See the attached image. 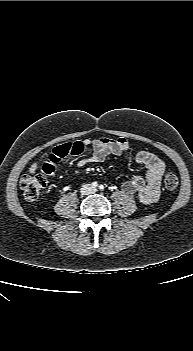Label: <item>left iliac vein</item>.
I'll list each match as a JSON object with an SVG mask.
<instances>
[{"instance_id":"obj_1","label":"left iliac vein","mask_w":193,"mask_h":351,"mask_svg":"<svg viewBox=\"0 0 193 351\" xmlns=\"http://www.w3.org/2000/svg\"><path fill=\"white\" fill-rule=\"evenodd\" d=\"M96 191H97V189H96V188H93V189H92V192H96Z\"/></svg>"}]
</instances>
